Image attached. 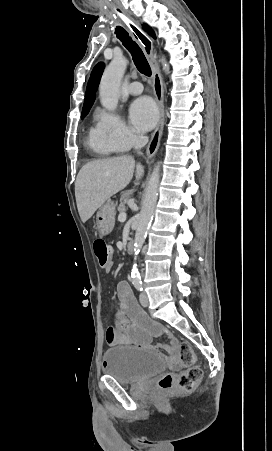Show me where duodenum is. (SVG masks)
<instances>
[{
	"instance_id": "1",
	"label": "duodenum",
	"mask_w": 272,
	"mask_h": 451,
	"mask_svg": "<svg viewBox=\"0 0 272 451\" xmlns=\"http://www.w3.org/2000/svg\"><path fill=\"white\" fill-rule=\"evenodd\" d=\"M133 248H134V243H133L132 241H130V242L127 244V250H128V252H131V251L133 250Z\"/></svg>"
}]
</instances>
